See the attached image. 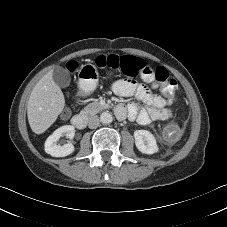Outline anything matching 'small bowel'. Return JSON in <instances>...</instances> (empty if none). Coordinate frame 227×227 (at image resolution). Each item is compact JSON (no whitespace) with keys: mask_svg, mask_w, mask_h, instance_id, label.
<instances>
[{"mask_svg":"<svg viewBox=\"0 0 227 227\" xmlns=\"http://www.w3.org/2000/svg\"><path fill=\"white\" fill-rule=\"evenodd\" d=\"M143 79L151 87L131 79H121L113 83L112 91L115 95L121 98L134 96L145 104L142 108L136 103H131L128 106L120 105L116 111L117 117L123 119L127 116L130 120H136L141 125H148L152 121L171 119L173 112L171 108L167 107L166 99L161 94L154 92L159 89V86L149 76H143Z\"/></svg>","mask_w":227,"mask_h":227,"instance_id":"1","label":"small bowel"}]
</instances>
